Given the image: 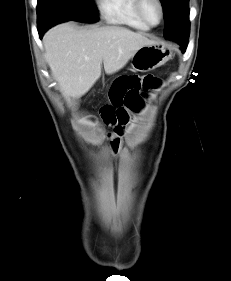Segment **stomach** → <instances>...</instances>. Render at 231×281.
<instances>
[{
  "instance_id": "stomach-1",
  "label": "stomach",
  "mask_w": 231,
  "mask_h": 281,
  "mask_svg": "<svg viewBox=\"0 0 231 281\" xmlns=\"http://www.w3.org/2000/svg\"><path fill=\"white\" fill-rule=\"evenodd\" d=\"M171 57V48L164 43L145 45L131 57V66L135 71L148 72L164 65Z\"/></svg>"
}]
</instances>
